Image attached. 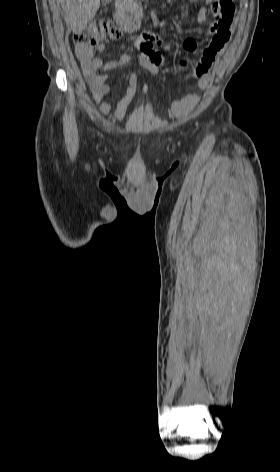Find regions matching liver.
<instances>
[{
    "label": "liver",
    "instance_id": "1",
    "mask_svg": "<svg viewBox=\"0 0 280 472\" xmlns=\"http://www.w3.org/2000/svg\"><path fill=\"white\" fill-rule=\"evenodd\" d=\"M65 12V21L74 33L80 34L95 17L100 0H59Z\"/></svg>",
    "mask_w": 280,
    "mask_h": 472
}]
</instances>
